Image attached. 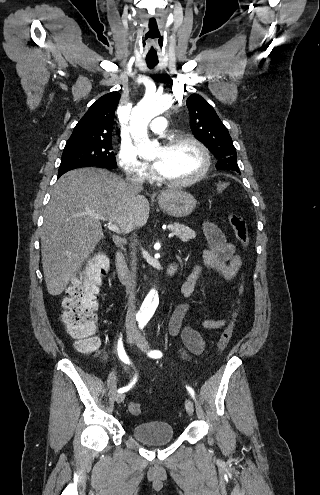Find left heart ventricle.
Segmentation results:
<instances>
[{
  "label": "left heart ventricle",
  "instance_id": "obj_1",
  "mask_svg": "<svg viewBox=\"0 0 320 495\" xmlns=\"http://www.w3.org/2000/svg\"><path fill=\"white\" fill-rule=\"evenodd\" d=\"M160 164L163 176L174 180L187 179L200 171L202 157L191 144L183 143L170 148H161L154 157Z\"/></svg>",
  "mask_w": 320,
  "mask_h": 495
}]
</instances>
